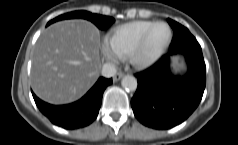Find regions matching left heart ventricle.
I'll use <instances>...</instances> for the list:
<instances>
[{
    "mask_svg": "<svg viewBox=\"0 0 238 145\" xmlns=\"http://www.w3.org/2000/svg\"><path fill=\"white\" fill-rule=\"evenodd\" d=\"M166 37H167V29L164 26L156 27L153 30L150 40L148 42L147 53H151L156 49H158L163 44Z\"/></svg>",
    "mask_w": 238,
    "mask_h": 145,
    "instance_id": "left-heart-ventricle-1",
    "label": "left heart ventricle"
}]
</instances>
